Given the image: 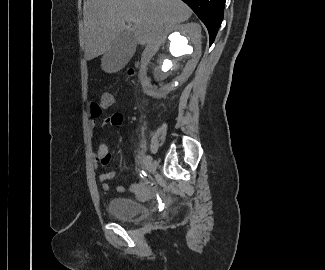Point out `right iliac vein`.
<instances>
[{"label": "right iliac vein", "instance_id": "obj_1", "mask_svg": "<svg viewBox=\"0 0 325 270\" xmlns=\"http://www.w3.org/2000/svg\"><path fill=\"white\" fill-rule=\"evenodd\" d=\"M146 167L150 171L154 172L156 170V168H157V163H156V161H153L152 158H151V160L146 164Z\"/></svg>", "mask_w": 325, "mask_h": 270}]
</instances>
